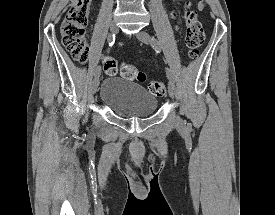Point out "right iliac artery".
Listing matches in <instances>:
<instances>
[{
    "mask_svg": "<svg viewBox=\"0 0 275 215\" xmlns=\"http://www.w3.org/2000/svg\"><path fill=\"white\" fill-rule=\"evenodd\" d=\"M108 42H109L110 46H112L114 44V42H115V34L114 33L109 35ZM100 72H101V66L98 65L97 68L95 69V75L100 73Z\"/></svg>",
    "mask_w": 275,
    "mask_h": 215,
    "instance_id": "82829eb1",
    "label": "right iliac artery"
}]
</instances>
